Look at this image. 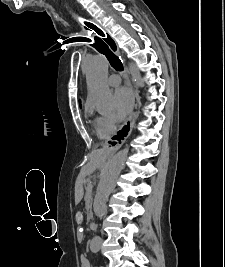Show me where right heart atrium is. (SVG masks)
Here are the masks:
<instances>
[{"mask_svg": "<svg viewBox=\"0 0 225 267\" xmlns=\"http://www.w3.org/2000/svg\"><path fill=\"white\" fill-rule=\"evenodd\" d=\"M98 133L102 136H109L115 132L117 128L116 120L112 116H99L95 120Z\"/></svg>", "mask_w": 225, "mask_h": 267, "instance_id": "1", "label": "right heart atrium"}]
</instances>
